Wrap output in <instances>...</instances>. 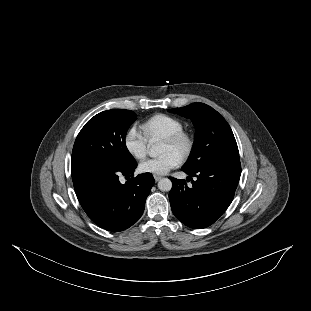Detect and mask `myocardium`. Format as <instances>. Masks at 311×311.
Listing matches in <instances>:
<instances>
[{"label":"myocardium","mask_w":311,"mask_h":311,"mask_svg":"<svg viewBox=\"0 0 311 311\" xmlns=\"http://www.w3.org/2000/svg\"><path fill=\"white\" fill-rule=\"evenodd\" d=\"M164 141L181 149L180 157L182 160H188L196 148V137L187 129H182L164 138Z\"/></svg>","instance_id":"myocardium-1"}]
</instances>
